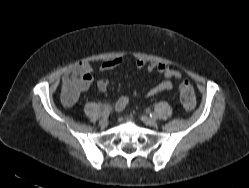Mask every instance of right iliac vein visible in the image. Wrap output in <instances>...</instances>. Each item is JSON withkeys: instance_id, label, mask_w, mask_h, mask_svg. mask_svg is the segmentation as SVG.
<instances>
[{"instance_id": "63e3f726", "label": "right iliac vein", "mask_w": 249, "mask_h": 188, "mask_svg": "<svg viewBox=\"0 0 249 188\" xmlns=\"http://www.w3.org/2000/svg\"><path fill=\"white\" fill-rule=\"evenodd\" d=\"M109 121L107 118H102L100 121H99V125L101 127H106L108 125Z\"/></svg>"}]
</instances>
